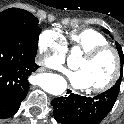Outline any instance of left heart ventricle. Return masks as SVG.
Listing matches in <instances>:
<instances>
[{
  "mask_svg": "<svg viewBox=\"0 0 124 124\" xmlns=\"http://www.w3.org/2000/svg\"><path fill=\"white\" fill-rule=\"evenodd\" d=\"M115 61L112 52L106 51L94 59L81 58L76 68L86 73L90 88L105 84L114 72Z\"/></svg>",
  "mask_w": 124,
  "mask_h": 124,
  "instance_id": "1",
  "label": "left heart ventricle"
}]
</instances>
